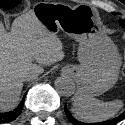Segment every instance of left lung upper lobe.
Wrapping results in <instances>:
<instances>
[{
    "instance_id": "obj_1",
    "label": "left lung upper lobe",
    "mask_w": 125,
    "mask_h": 125,
    "mask_svg": "<svg viewBox=\"0 0 125 125\" xmlns=\"http://www.w3.org/2000/svg\"><path fill=\"white\" fill-rule=\"evenodd\" d=\"M119 23H120L121 26L125 27V19H124V20H123V19H120V20H119Z\"/></svg>"
}]
</instances>
